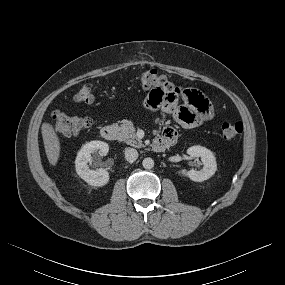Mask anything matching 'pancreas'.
Segmentation results:
<instances>
[{
	"label": "pancreas",
	"mask_w": 285,
	"mask_h": 285,
	"mask_svg": "<svg viewBox=\"0 0 285 285\" xmlns=\"http://www.w3.org/2000/svg\"><path fill=\"white\" fill-rule=\"evenodd\" d=\"M120 131V140L126 142L128 145L140 148L143 146L140 140H137L135 128L133 123L128 120H122L121 125L118 126Z\"/></svg>",
	"instance_id": "1"
}]
</instances>
